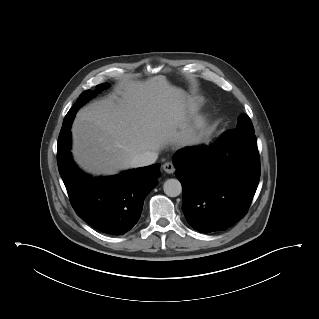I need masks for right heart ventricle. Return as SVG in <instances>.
<instances>
[{"instance_id": "right-heart-ventricle-1", "label": "right heart ventricle", "mask_w": 319, "mask_h": 319, "mask_svg": "<svg viewBox=\"0 0 319 319\" xmlns=\"http://www.w3.org/2000/svg\"><path fill=\"white\" fill-rule=\"evenodd\" d=\"M201 100H195L194 102H193V106H194V108H198L200 105H201Z\"/></svg>"}]
</instances>
